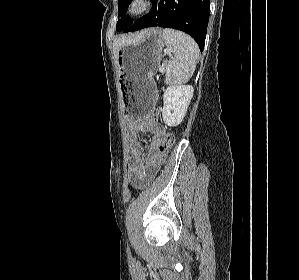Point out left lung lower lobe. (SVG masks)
Returning a JSON list of instances; mask_svg holds the SVG:
<instances>
[{
  "label": "left lung lower lobe",
  "mask_w": 299,
  "mask_h": 280,
  "mask_svg": "<svg viewBox=\"0 0 299 280\" xmlns=\"http://www.w3.org/2000/svg\"><path fill=\"white\" fill-rule=\"evenodd\" d=\"M210 0H153L151 12L132 23L127 30L167 27L184 31L203 51L209 21Z\"/></svg>",
  "instance_id": "left-lung-lower-lobe-1"
}]
</instances>
